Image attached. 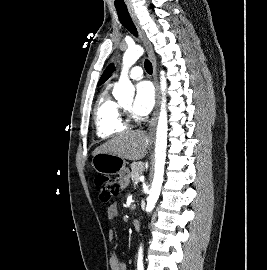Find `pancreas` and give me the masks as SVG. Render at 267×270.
I'll use <instances>...</instances> for the list:
<instances>
[{
  "label": "pancreas",
  "instance_id": "cf45deb5",
  "mask_svg": "<svg viewBox=\"0 0 267 270\" xmlns=\"http://www.w3.org/2000/svg\"><path fill=\"white\" fill-rule=\"evenodd\" d=\"M131 178L132 181L137 182L138 178L144 171V163L142 162H134L131 165Z\"/></svg>",
  "mask_w": 267,
  "mask_h": 270
}]
</instances>
